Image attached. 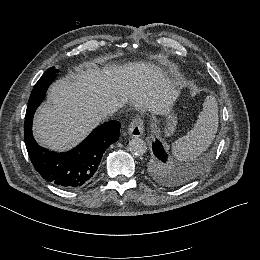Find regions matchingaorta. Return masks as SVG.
I'll return each instance as SVG.
<instances>
[{"instance_id": "obj_1", "label": "aorta", "mask_w": 260, "mask_h": 260, "mask_svg": "<svg viewBox=\"0 0 260 260\" xmlns=\"http://www.w3.org/2000/svg\"><path fill=\"white\" fill-rule=\"evenodd\" d=\"M128 149L133 155L142 156L145 154L147 146L143 139L134 138L129 141Z\"/></svg>"}]
</instances>
